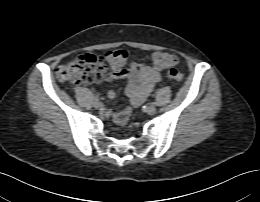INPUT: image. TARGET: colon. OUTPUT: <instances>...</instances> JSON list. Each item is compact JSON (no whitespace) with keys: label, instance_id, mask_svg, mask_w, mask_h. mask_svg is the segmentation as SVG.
<instances>
[{"label":"colon","instance_id":"colon-1","mask_svg":"<svg viewBox=\"0 0 260 202\" xmlns=\"http://www.w3.org/2000/svg\"><path fill=\"white\" fill-rule=\"evenodd\" d=\"M129 59L130 54L124 49L112 50L105 56L83 54L59 66L56 77L58 81L71 85L99 83L107 76L106 63L112 68L124 69ZM152 63L157 69H166L168 79L176 82L183 80V74L175 68L178 63L176 55L158 51L153 54Z\"/></svg>","mask_w":260,"mask_h":202}]
</instances>
